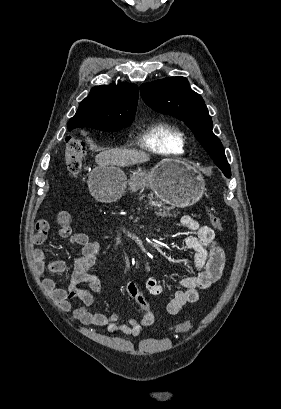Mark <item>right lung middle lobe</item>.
Instances as JSON below:
<instances>
[{
	"mask_svg": "<svg viewBox=\"0 0 281 409\" xmlns=\"http://www.w3.org/2000/svg\"><path fill=\"white\" fill-rule=\"evenodd\" d=\"M129 125H120V126H89L90 128L101 130V131H117L122 128H125Z\"/></svg>",
	"mask_w": 281,
	"mask_h": 409,
	"instance_id": "dd1d6c3e",
	"label": "right lung middle lobe"
}]
</instances>
